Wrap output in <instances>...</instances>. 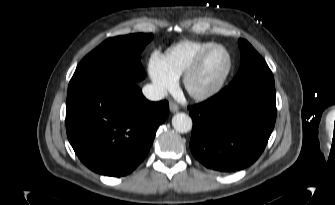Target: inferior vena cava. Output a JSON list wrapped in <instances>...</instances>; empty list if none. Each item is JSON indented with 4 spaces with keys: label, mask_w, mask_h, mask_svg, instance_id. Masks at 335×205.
Segmentation results:
<instances>
[{
    "label": "inferior vena cava",
    "mask_w": 335,
    "mask_h": 205,
    "mask_svg": "<svg viewBox=\"0 0 335 205\" xmlns=\"http://www.w3.org/2000/svg\"><path fill=\"white\" fill-rule=\"evenodd\" d=\"M142 92L144 96L151 101L161 100L165 96V92L162 89L152 84L145 85L142 89Z\"/></svg>",
    "instance_id": "1"
}]
</instances>
